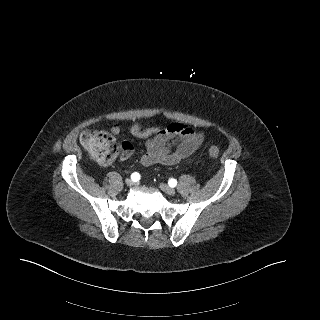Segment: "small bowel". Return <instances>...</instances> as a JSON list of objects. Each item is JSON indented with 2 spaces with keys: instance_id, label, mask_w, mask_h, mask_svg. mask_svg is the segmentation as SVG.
Wrapping results in <instances>:
<instances>
[{
  "instance_id": "c3829d8e",
  "label": "small bowel",
  "mask_w": 320,
  "mask_h": 320,
  "mask_svg": "<svg viewBox=\"0 0 320 320\" xmlns=\"http://www.w3.org/2000/svg\"><path fill=\"white\" fill-rule=\"evenodd\" d=\"M114 134H119L121 129L115 125L112 127ZM130 133L134 137L145 139V152L140 162L143 166L155 164L175 165L183 160H189L204 141V135L190 127L173 123L165 127L151 126L143 128L139 123L130 127ZM121 157L127 159L132 153L129 142L122 143Z\"/></svg>"
}]
</instances>
